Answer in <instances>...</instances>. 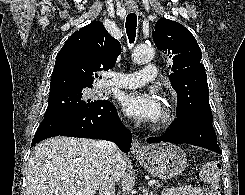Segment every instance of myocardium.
<instances>
[{"label": "myocardium", "mask_w": 245, "mask_h": 195, "mask_svg": "<svg viewBox=\"0 0 245 195\" xmlns=\"http://www.w3.org/2000/svg\"><path fill=\"white\" fill-rule=\"evenodd\" d=\"M176 119H177L176 111L170 106H164L160 114V117L153 124L152 129L154 131L165 130L168 127H170L175 122Z\"/></svg>", "instance_id": "f54148a6"}]
</instances>
